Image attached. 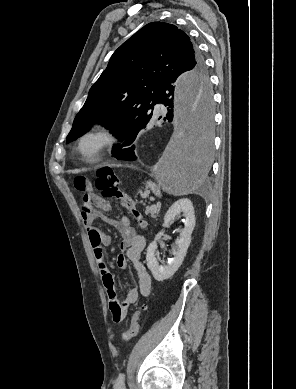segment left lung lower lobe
<instances>
[{
	"label": "left lung lower lobe",
	"instance_id": "left-lung-lower-lobe-1",
	"mask_svg": "<svg viewBox=\"0 0 296 389\" xmlns=\"http://www.w3.org/2000/svg\"><path fill=\"white\" fill-rule=\"evenodd\" d=\"M176 78L165 81L158 91L157 103H162L167 108L164 120L172 122L176 120V92L174 83ZM191 94L198 97L196 104L199 109L198 126L187 141V155L193 170V178H202L209 169L212 142L209 136V130L212 123V95L210 86L206 83L205 77L194 76L191 78ZM161 118V117H159ZM146 127V125H145ZM135 128V129H134ZM144 128V127H143ZM124 139H119L123 144H117L112 147V156L118 160L133 161L137 159L135 145H131L137 137L135 133L139 127L134 126ZM129 146V147H127Z\"/></svg>",
	"mask_w": 296,
	"mask_h": 389
}]
</instances>
